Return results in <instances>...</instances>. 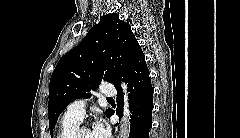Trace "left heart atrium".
I'll list each match as a JSON object with an SVG mask.
<instances>
[{"label":"left heart atrium","instance_id":"left-heart-atrium-1","mask_svg":"<svg viewBox=\"0 0 240 138\" xmlns=\"http://www.w3.org/2000/svg\"><path fill=\"white\" fill-rule=\"evenodd\" d=\"M95 138H107L109 129L102 120H98L92 130Z\"/></svg>","mask_w":240,"mask_h":138}]
</instances>
